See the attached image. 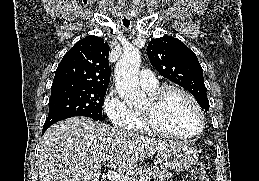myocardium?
<instances>
[{"instance_id": "f54148a6", "label": "myocardium", "mask_w": 259, "mask_h": 181, "mask_svg": "<svg viewBox=\"0 0 259 181\" xmlns=\"http://www.w3.org/2000/svg\"><path fill=\"white\" fill-rule=\"evenodd\" d=\"M174 92L180 93L183 96H185L195 107L199 116V126L196 131L188 134H179V133L166 130L157 123V120H156L157 110L159 109L160 105L162 104L166 96ZM148 101H149L148 108L146 110H142L141 114L143 117L144 124L149 132L157 135L165 136V137L175 138V139H191L200 135L204 130L205 115H204L203 109L200 106L199 102L196 100V98L184 88H181L175 85L162 86L160 88H157L153 93L150 94Z\"/></svg>"}]
</instances>
